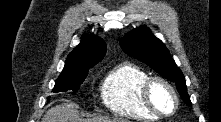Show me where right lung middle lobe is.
I'll return each mask as SVG.
<instances>
[{
    "instance_id": "1",
    "label": "right lung middle lobe",
    "mask_w": 221,
    "mask_h": 122,
    "mask_svg": "<svg viewBox=\"0 0 221 122\" xmlns=\"http://www.w3.org/2000/svg\"><path fill=\"white\" fill-rule=\"evenodd\" d=\"M88 74V70H83L79 72H62L55 82V87L53 88L54 93L65 92L72 90L77 92L80 85L85 80ZM50 97L48 98L49 101Z\"/></svg>"
}]
</instances>
